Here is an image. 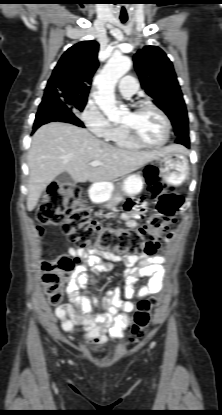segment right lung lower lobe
I'll use <instances>...</instances> for the list:
<instances>
[{
    "label": "right lung lower lobe",
    "mask_w": 222,
    "mask_h": 415,
    "mask_svg": "<svg viewBox=\"0 0 222 415\" xmlns=\"http://www.w3.org/2000/svg\"><path fill=\"white\" fill-rule=\"evenodd\" d=\"M60 121L72 123L84 127L83 123L73 114V112L58 97H53L49 102L39 106L36 114L33 131L43 124Z\"/></svg>",
    "instance_id": "1"
}]
</instances>
